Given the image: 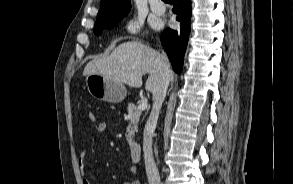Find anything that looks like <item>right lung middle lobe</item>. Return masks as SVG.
I'll list each match as a JSON object with an SVG mask.
<instances>
[{
  "label": "right lung middle lobe",
  "mask_w": 293,
  "mask_h": 184,
  "mask_svg": "<svg viewBox=\"0 0 293 184\" xmlns=\"http://www.w3.org/2000/svg\"><path fill=\"white\" fill-rule=\"evenodd\" d=\"M119 20H116V21H113V22H110V23H105V24H95L94 26V33L96 35H99L101 34V32L104 30V29H110V28H113L119 21Z\"/></svg>",
  "instance_id": "obj_1"
}]
</instances>
